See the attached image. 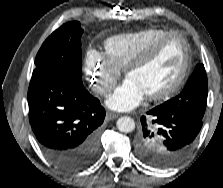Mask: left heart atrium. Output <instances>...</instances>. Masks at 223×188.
Instances as JSON below:
<instances>
[{
  "label": "left heart atrium",
  "instance_id": "left-heart-atrium-1",
  "mask_svg": "<svg viewBox=\"0 0 223 188\" xmlns=\"http://www.w3.org/2000/svg\"><path fill=\"white\" fill-rule=\"evenodd\" d=\"M145 96L143 90L127 78L107 99V105L114 110L128 111L138 106Z\"/></svg>",
  "mask_w": 223,
  "mask_h": 188
}]
</instances>
